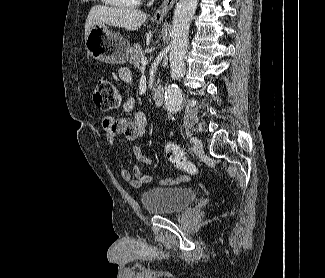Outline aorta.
<instances>
[{
    "label": "aorta",
    "mask_w": 325,
    "mask_h": 278,
    "mask_svg": "<svg viewBox=\"0 0 325 278\" xmlns=\"http://www.w3.org/2000/svg\"><path fill=\"white\" fill-rule=\"evenodd\" d=\"M198 0H178L172 22L170 43V75L172 80H179L185 73V54L188 47L190 23L194 16ZM183 97L176 83H172L165 91V107L173 112L180 109Z\"/></svg>",
    "instance_id": "aorta-1"
}]
</instances>
